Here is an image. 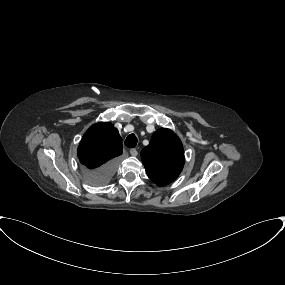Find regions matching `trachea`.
<instances>
[{"instance_id":"1","label":"trachea","mask_w":285,"mask_h":285,"mask_svg":"<svg viewBox=\"0 0 285 285\" xmlns=\"http://www.w3.org/2000/svg\"><path fill=\"white\" fill-rule=\"evenodd\" d=\"M137 137L135 136V134H130L127 136L126 140H125V145L128 148H134L137 145Z\"/></svg>"}]
</instances>
